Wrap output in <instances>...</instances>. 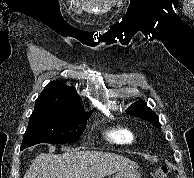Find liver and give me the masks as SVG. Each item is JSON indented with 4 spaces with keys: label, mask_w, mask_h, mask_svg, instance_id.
<instances>
[{
    "label": "liver",
    "mask_w": 194,
    "mask_h": 178,
    "mask_svg": "<svg viewBox=\"0 0 194 178\" xmlns=\"http://www.w3.org/2000/svg\"><path fill=\"white\" fill-rule=\"evenodd\" d=\"M138 165L116 153L68 151L38 155L24 178H104L116 172L133 170Z\"/></svg>",
    "instance_id": "obj_1"
}]
</instances>
